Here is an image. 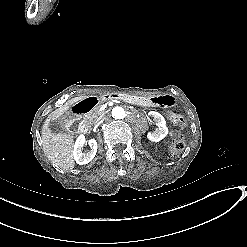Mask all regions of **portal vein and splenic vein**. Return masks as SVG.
Segmentation results:
<instances>
[{"mask_svg": "<svg viewBox=\"0 0 247 247\" xmlns=\"http://www.w3.org/2000/svg\"><path fill=\"white\" fill-rule=\"evenodd\" d=\"M109 102H113V103H116V104H122V101H119L117 99H107L105 101V103L102 105V107H100V111H104V109H106L107 104H109Z\"/></svg>", "mask_w": 247, "mask_h": 247, "instance_id": "18ae733b", "label": "portal vein and splenic vein"}]
</instances>
